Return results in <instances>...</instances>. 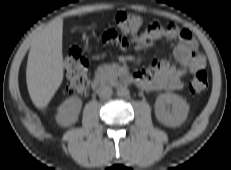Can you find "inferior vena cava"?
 <instances>
[{"mask_svg": "<svg viewBox=\"0 0 231 170\" xmlns=\"http://www.w3.org/2000/svg\"><path fill=\"white\" fill-rule=\"evenodd\" d=\"M112 95V88L109 86H104L99 91L100 98L106 99Z\"/></svg>", "mask_w": 231, "mask_h": 170, "instance_id": "1", "label": "inferior vena cava"}]
</instances>
